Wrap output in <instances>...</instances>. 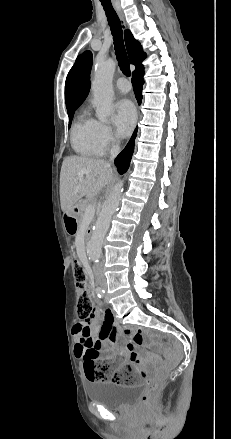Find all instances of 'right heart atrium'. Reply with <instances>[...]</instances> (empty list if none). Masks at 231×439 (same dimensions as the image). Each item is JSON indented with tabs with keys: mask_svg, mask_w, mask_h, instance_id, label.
I'll return each mask as SVG.
<instances>
[{
	"mask_svg": "<svg viewBox=\"0 0 231 439\" xmlns=\"http://www.w3.org/2000/svg\"><path fill=\"white\" fill-rule=\"evenodd\" d=\"M95 140L102 152L108 150L116 144V136L112 128L101 121H95Z\"/></svg>",
	"mask_w": 231,
	"mask_h": 439,
	"instance_id": "1",
	"label": "right heart atrium"
}]
</instances>
